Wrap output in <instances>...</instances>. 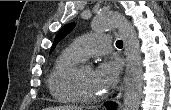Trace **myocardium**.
Wrapping results in <instances>:
<instances>
[{"label":"myocardium","mask_w":171,"mask_h":110,"mask_svg":"<svg viewBox=\"0 0 171 110\" xmlns=\"http://www.w3.org/2000/svg\"><path fill=\"white\" fill-rule=\"evenodd\" d=\"M86 65L82 62L78 63L72 67L65 76V84L70 93L75 97V99L82 103H96L105 98V94L98 96H88L86 95L80 85H79V74L83 67Z\"/></svg>","instance_id":"myocardium-1"}]
</instances>
